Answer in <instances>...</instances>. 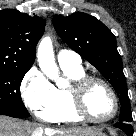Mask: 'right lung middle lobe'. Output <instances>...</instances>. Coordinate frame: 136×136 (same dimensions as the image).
<instances>
[{
    "mask_svg": "<svg viewBox=\"0 0 136 136\" xmlns=\"http://www.w3.org/2000/svg\"><path fill=\"white\" fill-rule=\"evenodd\" d=\"M28 70L0 67V115L29 117L19 92L21 81Z\"/></svg>",
    "mask_w": 136,
    "mask_h": 136,
    "instance_id": "dd1d6c3e",
    "label": "right lung middle lobe"
}]
</instances>
